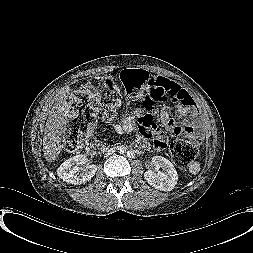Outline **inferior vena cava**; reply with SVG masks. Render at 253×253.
<instances>
[{
	"mask_svg": "<svg viewBox=\"0 0 253 253\" xmlns=\"http://www.w3.org/2000/svg\"><path fill=\"white\" fill-rule=\"evenodd\" d=\"M107 153L110 155V156H113L115 154V151L112 149V148H109L107 150Z\"/></svg>",
	"mask_w": 253,
	"mask_h": 253,
	"instance_id": "1",
	"label": "inferior vena cava"
}]
</instances>
